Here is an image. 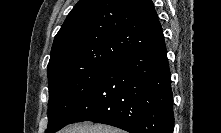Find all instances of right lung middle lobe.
I'll use <instances>...</instances> for the list:
<instances>
[{"label": "right lung middle lobe", "mask_w": 221, "mask_h": 133, "mask_svg": "<svg viewBox=\"0 0 221 133\" xmlns=\"http://www.w3.org/2000/svg\"><path fill=\"white\" fill-rule=\"evenodd\" d=\"M109 66L68 67L48 75L49 105L46 133H54L70 123L88 102L92 91Z\"/></svg>", "instance_id": "dd1d6c3e"}]
</instances>
